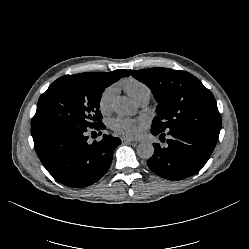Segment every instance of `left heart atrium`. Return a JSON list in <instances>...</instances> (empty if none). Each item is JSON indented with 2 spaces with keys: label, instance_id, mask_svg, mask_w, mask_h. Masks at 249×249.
I'll use <instances>...</instances> for the list:
<instances>
[{
  "label": "left heart atrium",
  "instance_id": "left-heart-atrium-1",
  "mask_svg": "<svg viewBox=\"0 0 249 249\" xmlns=\"http://www.w3.org/2000/svg\"><path fill=\"white\" fill-rule=\"evenodd\" d=\"M111 127L116 132L134 137L139 133V127L135 123V121L124 118V117H117L111 121Z\"/></svg>",
  "mask_w": 249,
  "mask_h": 249
}]
</instances>
